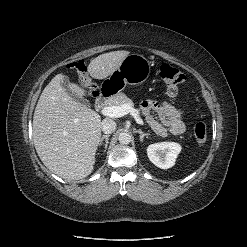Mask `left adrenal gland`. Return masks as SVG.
Instances as JSON below:
<instances>
[{"mask_svg":"<svg viewBox=\"0 0 247 247\" xmlns=\"http://www.w3.org/2000/svg\"><path fill=\"white\" fill-rule=\"evenodd\" d=\"M138 133L140 134V141L143 142L144 140V137H147L149 136L148 133H143L141 130H138Z\"/></svg>","mask_w":247,"mask_h":247,"instance_id":"1","label":"left adrenal gland"}]
</instances>
